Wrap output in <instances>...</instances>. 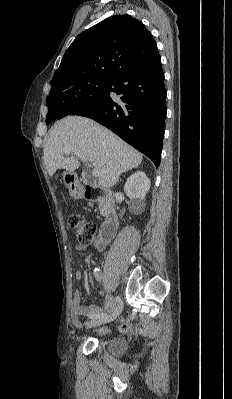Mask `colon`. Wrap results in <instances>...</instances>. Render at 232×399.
Masks as SVG:
<instances>
[{"label": "colon", "mask_w": 232, "mask_h": 399, "mask_svg": "<svg viewBox=\"0 0 232 399\" xmlns=\"http://www.w3.org/2000/svg\"><path fill=\"white\" fill-rule=\"evenodd\" d=\"M85 215L73 216V209H68V228L74 229L77 234L79 244H92V236H94V222H84Z\"/></svg>", "instance_id": "obj_1"}]
</instances>
